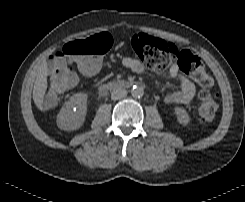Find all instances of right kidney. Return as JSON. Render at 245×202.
I'll use <instances>...</instances> for the list:
<instances>
[{
	"label": "right kidney",
	"instance_id": "ca27d5eb",
	"mask_svg": "<svg viewBox=\"0 0 245 202\" xmlns=\"http://www.w3.org/2000/svg\"><path fill=\"white\" fill-rule=\"evenodd\" d=\"M87 94L77 93L64 103L57 115V125L66 131L79 129L87 113Z\"/></svg>",
	"mask_w": 245,
	"mask_h": 202
}]
</instances>
